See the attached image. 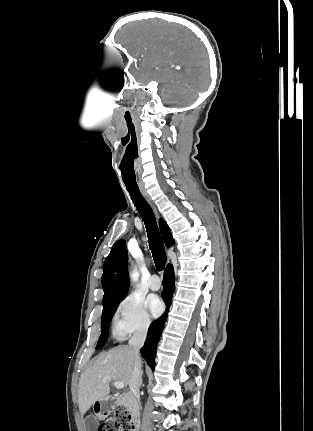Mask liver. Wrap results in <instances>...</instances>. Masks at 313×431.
<instances>
[{"label":"liver","instance_id":"obj_1","mask_svg":"<svg viewBox=\"0 0 313 431\" xmlns=\"http://www.w3.org/2000/svg\"><path fill=\"white\" fill-rule=\"evenodd\" d=\"M134 366L130 346H117L101 353L82 373L79 380L78 404L83 416L97 401L107 400L111 381H121L127 386Z\"/></svg>","mask_w":313,"mask_h":431}]
</instances>
